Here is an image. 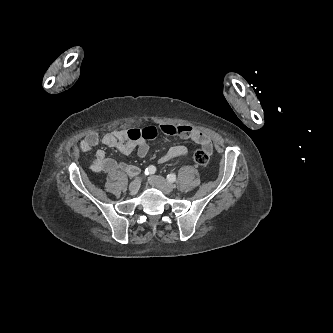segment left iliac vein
Masks as SVG:
<instances>
[{"label":"left iliac vein","mask_w":333,"mask_h":333,"mask_svg":"<svg viewBox=\"0 0 333 333\" xmlns=\"http://www.w3.org/2000/svg\"><path fill=\"white\" fill-rule=\"evenodd\" d=\"M148 182L160 189L163 193L168 194L174 189V185L167 182L163 177L154 175L148 178Z\"/></svg>","instance_id":"obj_1"}]
</instances>
